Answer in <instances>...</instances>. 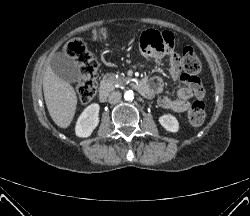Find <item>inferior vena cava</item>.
Listing matches in <instances>:
<instances>
[{
  "instance_id": "1",
  "label": "inferior vena cava",
  "mask_w": 250,
  "mask_h": 216,
  "mask_svg": "<svg viewBox=\"0 0 250 216\" xmlns=\"http://www.w3.org/2000/svg\"><path fill=\"white\" fill-rule=\"evenodd\" d=\"M121 97H122V95L119 91H114V92L110 93V95L108 97V101L111 104H115L121 100Z\"/></svg>"
}]
</instances>
